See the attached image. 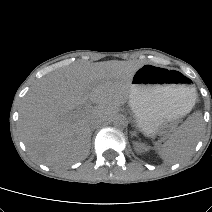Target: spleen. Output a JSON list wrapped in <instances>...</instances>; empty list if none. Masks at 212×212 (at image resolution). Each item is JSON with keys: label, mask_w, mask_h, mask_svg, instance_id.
I'll return each instance as SVG.
<instances>
[{"label": "spleen", "mask_w": 212, "mask_h": 212, "mask_svg": "<svg viewBox=\"0 0 212 212\" xmlns=\"http://www.w3.org/2000/svg\"><path fill=\"white\" fill-rule=\"evenodd\" d=\"M202 130L201 118H189L164 144L156 145L155 149L166 163H177L190 156Z\"/></svg>", "instance_id": "spleen-1"}]
</instances>
